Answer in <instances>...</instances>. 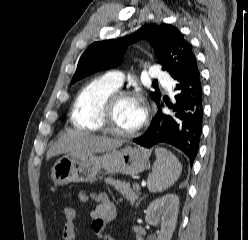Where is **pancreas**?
Listing matches in <instances>:
<instances>
[{"mask_svg":"<svg viewBox=\"0 0 248 240\" xmlns=\"http://www.w3.org/2000/svg\"><path fill=\"white\" fill-rule=\"evenodd\" d=\"M105 183L112 185L115 189L120 192L123 197L130 201L131 204L139 197V189L133 185V188L130 187L129 183L122 182L120 180H115L111 177L104 179Z\"/></svg>","mask_w":248,"mask_h":240,"instance_id":"obj_1","label":"pancreas"}]
</instances>
